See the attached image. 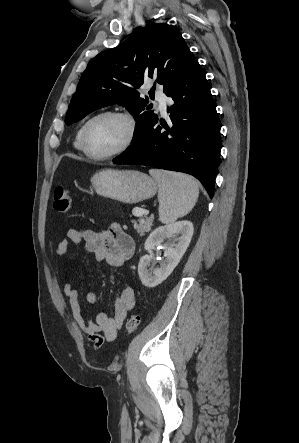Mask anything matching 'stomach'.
Listing matches in <instances>:
<instances>
[{
  "label": "stomach",
  "instance_id": "stomach-1",
  "mask_svg": "<svg viewBox=\"0 0 299 443\" xmlns=\"http://www.w3.org/2000/svg\"><path fill=\"white\" fill-rule=\"evenodd\" d=\"M91 182L99 195L129 204L149 199L158 190L155 179L136 170H101Z\"/></svg>",
  "mask_w": 299,
  "mask_h": 443
}]
</instances>
